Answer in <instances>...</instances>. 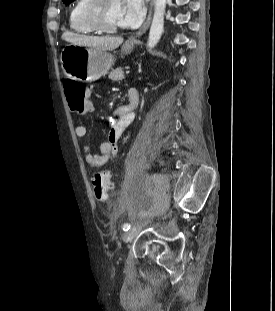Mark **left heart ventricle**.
<instances>
[{
    "mask_svg": "<svg viewBox=\"0 0 275 311\" xmlns=\"http://www.w3.org/2000/svg\"><path fill=\"white\" fill-rule=\"evenodd\" d=\"M121 13L122 0H109L105 9L104 19L109 25L122 26Z\"/></svg>",
    "mask_w": 275,
    "mask_h": 311,
    "instance_id": "left-heart-ventricle-1",
    "label": "left heart ventricle"
}]
</instances>
